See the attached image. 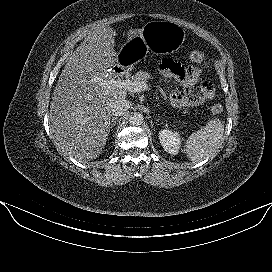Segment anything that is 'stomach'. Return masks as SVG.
<instances>
[{"label": "stomach", "mask_w": 272, "mask_h": 272, "mask_svg": "<svg viewBox=\"0 0 272 272\" xmlns=\"http://www.w3.org/2000/svg\"><path fill=\"white\" fill-rule=\"evenodd\" d=\"M185 41V30L174 22H147L139 35L127 40L118 53L121 67H133L149 51L157 54L174 52Z\"/></svg>", "instance_id": "1"}]
</instances>
